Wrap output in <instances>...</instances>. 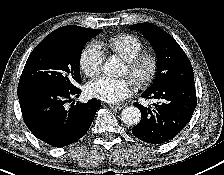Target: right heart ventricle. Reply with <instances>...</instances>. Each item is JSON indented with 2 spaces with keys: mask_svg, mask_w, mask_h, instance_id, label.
<instances>
[{
  "mask_svg": "<svg viewBox=\"0 0 224 175\" xmlns=\"http://www.w3.org/2000/svg\"><path fill=\"white\" fill-rule=\"evenodd\" d=\"M101 45L125 61L133 59L144 49L142 41L137 36L131 34L115 35L103 40Z\"/></svg>",
  "mask_w": 224,
  "mask_h": 175,
  "instance_id": "e07e8e85",
  "label": "right heart ventricle"
}]
</instances>
